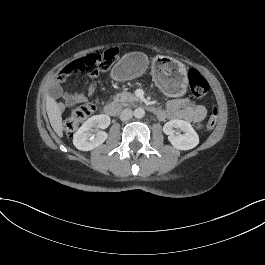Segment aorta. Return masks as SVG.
<instances>
[{"label":"aorta","mask_w":265,"mask_h":265,"mask_svg":"<svg viewBox=\"0 0 265 265\" xmlns=\"http://www.w3.org/2000/svg\"><path fill=\"white\" fill-rule=\"evenodd\" d=\"M134 116L137 119H141L145 116V110L141 107H138L134 110Z\"/></svg>","instance_id":"762f6f07"}]
</instances>
